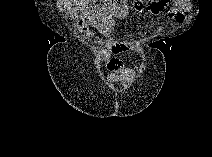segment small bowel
<instances>
[{
  "label": "small bowel",
  "instance_id": "c3829d8e",
  "mask_svg": "<svg viewBox=\"0 0 212 157\" xmlns=\"http://www.w3.org/2000/svg\"><path fill=\"white\" fill-rule=\"evenodd\" d=\"M58 7L68 11L75 20L79 30L94 37L90 28L96 29L106 40L103 48V63L109 70L106 77L107 83L119 81L126 82L134 76V70L124 65L118 55L133 49L130 42H120L114 38V26L116 19H123L129 12V6L125 0H63L57 2ZM144 2L134 0L132 8L142 10ZM150 13L160 15L167 13L168 17L178 24H184L187 20L188 6L184 0H155L148 6Z\"/></svg>",
  "mask_w": 212,
  "mask_h": 157
}]
</instances>
